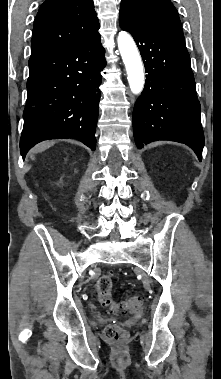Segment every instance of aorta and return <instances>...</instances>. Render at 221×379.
Here are the masks:
<instances>
[{"label":"aorta","instance_id":"1","mask_svg":"<svg viewBox=\"0 0 221 379\" xmlns=\"http://www.w3.org/2000/svg\"><path fill=\"white\" fill-rule=\"evenodd\" d=\"M117 43L126 67L130 89L133 94H140L144 87V71L136 44L126 31L119 32Z\"/></svg>","mask_w":221,"mask_h":379}]
</instances>
